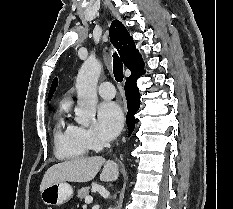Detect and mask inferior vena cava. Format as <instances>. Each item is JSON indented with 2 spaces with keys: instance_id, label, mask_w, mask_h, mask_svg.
I'll list each match as a JSON object with an SVG mask.
<instances>
[{
  "instance_id": "obj_1",
  "label": "inferior vena cava",
  "mask_w": 233,
  "mask_h": 209,
  "mask_svg": "<svg viewBox=\"0 0 233 209\" xmlns=\"http://www.w3.org/2000/svg\"><path fill=\"white\" fill-rule=\"evenodd\" d=\"M104 146L107 148H110V143L109 142H104Z\"/></svg>"
}]
</instances>
